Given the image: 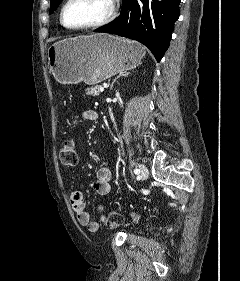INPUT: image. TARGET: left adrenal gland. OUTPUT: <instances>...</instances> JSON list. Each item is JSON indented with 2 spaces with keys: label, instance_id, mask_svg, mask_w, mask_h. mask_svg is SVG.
<instances>
[{
  "label": "left adrenal gland",
  "instance_id": "1",
  "mask_svg": "<svg viewBox=\"0 0 240 281\" xmlns=\"http://www.w3.org/2000/svg\"><path fill=\"white\" fill-rule=\"evenodd\" d=\"M130 73H125V74H120V75H118L113 81H112V83H111V85H110V90L113 88V85H114V83L120 78V77H125V76H128Z\"/></svg>",
  "mask_w": 240,
  "mask_h": 281
}]
</instances>
